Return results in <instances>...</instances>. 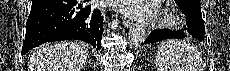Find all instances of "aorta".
<instances>
[{"label":"aorta","instance_id":"1","mask_svg":"<svg viewBox=\"0 0 230 71\" xmlns=\"http://www.w3.org/2000/svg\"><path fill=\"white\" fill-rule=\"evenodd\" d=\"M146 38L145 27L134 25L128 33V44L130 47H138Z\"/></svg>","mask_w":230,"mask_h":71}]
</instances>
